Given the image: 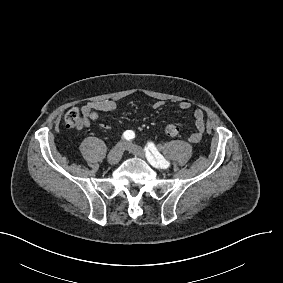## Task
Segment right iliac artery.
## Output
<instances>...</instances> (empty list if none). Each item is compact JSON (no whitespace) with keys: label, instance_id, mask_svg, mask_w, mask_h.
I'll return each mask as SVG.
<instances>
[{"label":"right iliac artery","instance_id":"1","mask_svg":"<svg viewBox=\"0 0 283 283\" xmlns=\"http://www.w3.org/2000/svg\"><path fill=\"white\" fill-rule=\"evenodd\" d=\"M123 136L126 140H131L135 137V133L132 130H127L124 132Z\"/></svg>","mask_w":283,"mask_h":283}]
</instances>
